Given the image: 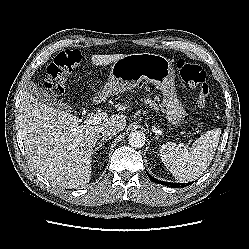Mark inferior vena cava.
Here are the masks:
<instances>
[{"instance_id":"1","label":"inferior vena cava","mask_w":249,"mask_h":249,"mask_svg":"<svg viewBox=\"0 0 249 249\" xmlns=\"http://www.w3.org/2000/svg\"><path fill=\"white\" fill-rule=\"evenodd\" d=\"M103 136H113L117 133L120 132V129L116 125H106L105 127L102 128L101 130Z\"/></svg>"}]
</instances>
